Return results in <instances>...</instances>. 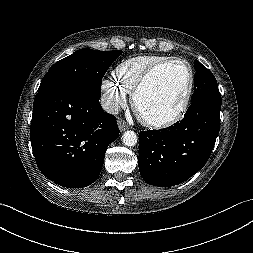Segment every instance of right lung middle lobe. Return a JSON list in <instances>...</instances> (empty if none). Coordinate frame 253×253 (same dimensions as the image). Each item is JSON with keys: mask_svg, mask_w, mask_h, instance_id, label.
Masks as SVG:
<instances>
[{"mask_svg": "<svg viewBox=\"0 0 253 253\" xmlns=\"http://www.w3.org/2000/svg\"><path fill=\"white\" fill-rule=\"evenodd\" d=\"M121 54L122 51L80 49L54 64L44 76L38 91L51 86H65L99 97L104 74Z\"/></svg>", "mask_w": 253, "mask_h": 253, "instance_id": "1", "label": "right lung middle lobe"}]
</instances>
